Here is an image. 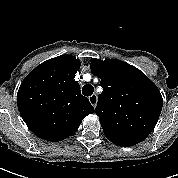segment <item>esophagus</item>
Returning a JSON list of instances; mask_svg holds the SVG:
<instances>
[{
    "instance_id": "obj_1",
    "label": "esophagus",
    "mask_w": 178,
    "mask_h": 178,
    "mask_svg": "<svg viewBox=\"0 0 178 178\" xmlns=\"http://www.w3.org/2000/svg\"><path fill=\"white\" fill-rule=\"evenodd\" d=\"M89 102L91 103V105L95 108L97 106V102H98V98L97 95H91L89 97Z\"/></svg>"
}]
</instances>
